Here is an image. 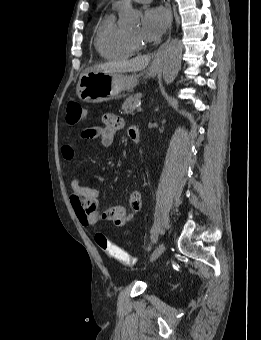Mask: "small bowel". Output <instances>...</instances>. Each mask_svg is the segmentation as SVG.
Masks as SVG:
<instances>
[{"label":"small bowel","instance_id":"c3829d8e","mask_svg":"<svg viewBox=\"0 0 261 340\" xmlns=\"http://www.w3.org/2000/svg\"><path fill=\"white\" fill-rule=\"evenodd\" d=\"M123 127L124 121L120 117L113 114H105L101 119L100 126L83 129L79 133V137L82 139H99L104 147H110L113 144L116 132ZM127 132L130 138L133 134H137L140 137L139 129L135 125L129 126ZM61 152L64 159L71 161L75 156L74 143L64 144ZM70 186V203L77 219L84 227H95L101 221L110 222L117 227L124 226L142 206V198L139 191H133L130 194L129 204L132 213H129L121 205L105 209L101 208L99 203L100 191L81 185L78 178H73Z\"/></svg>","mask_w":261,"mask_h":340}]
</instances>
